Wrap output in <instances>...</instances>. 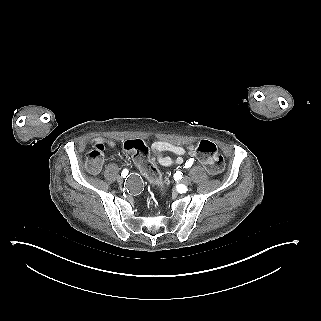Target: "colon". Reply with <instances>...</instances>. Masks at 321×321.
<instances>
[{
  "mask_svg": "<svg viewBox=\"0 0 321 321\" xmlns=\"http://www.w3.org/2000/svg\"><path fill=\"white\" fill-rule=\"evenodd\" d=\"M104 143L96 142L86 157V168L89 172L96 174L99 172L102 161ZM124 151L133 155L135 163L138 165L144 176L153 185L162 188L163 180L159 171L150 161L149 152L142 140L134 139L123 144ZM190 153L198 159L210 174H218L224 169V158L218 152L216 145L208 140H201L190 146Z\"/></svg>",
  "mask_w": 321,
  "mask_h": 321,
  "instance_id": "1",
  "label": "colon"
}]
</instances>
